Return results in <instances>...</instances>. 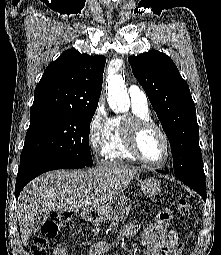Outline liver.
<instances>
[{"label": "liver", "instance_id": "6515ba94", "mask_svg": "<svg viewBox=\"0 0 221 255\" xmlns=\"http://www.w3.org/2000/svg\"><path fill=\"white\" fill-rule=\"evenodd\" d=\"M143 169L124 162H105L87 170H56L30 182L21 192L17 213L22 242L33 232L37 216L47 212L88 213L104 208Z\"/></svg>", "mask_w": 221, "mask_h": 255}]
</instances>
